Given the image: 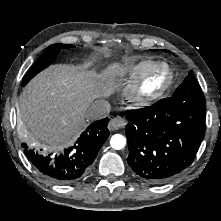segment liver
I'll return each mask as SVG.
<instances>
[{
  "label": "liver",
  "instance_id": "obj_1",
  "mask_svg": "<svg viewBox=\"0 0 221 221\" xmlns=\"http://www.w3.org/2000/svg\"><path fill=\"white\" fill-rule=\"evenodd\" d=\"M116 62L100 74L86 66L56 64L38 74L25 87L17 108L23 137L65 146L87 126L86 112L98 98L119 90L126 73Z\"/></svg>",
  "mask_w": 221,
  "mask_h": 221
}]
</instances>
